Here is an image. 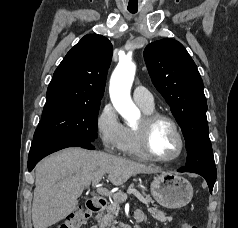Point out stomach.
Returning <instances> with one entry per match:
<instances>
[{
  "instance_id": "0dacf381",
  "label": "stomach",
  "mask_w": 238,
  "mask_h": 228,
  "mask_svg": "<svg viewBox=\"0 0 238 228\" xmlns=\"http://www.w3.org/2000/svg\"><path fill=\"white\" fill-rule=\"evenodd\" d=\"M151 194L155 201L168 209L186 206L193 197L190 182L175 173L161 172L151 183Z\"/></svg>"
}]
</instances>
